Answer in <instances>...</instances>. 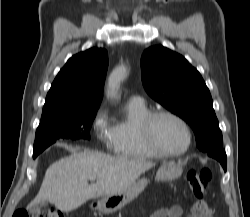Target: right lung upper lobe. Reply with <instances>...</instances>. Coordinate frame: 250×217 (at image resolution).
<instances>
[{
    "label": "right lung upper lobe",
    "instance_id": "1",
    "mask_svg": "<svg viewBox=\"0 0 250 217\" xmlns=\"http://www.w3.org/2000/svg\"><path fill=\"white\" fill-rule=\"evenodd\" d=\"M107 67L108 54L102 48L72 56L53 81L42 116L99 108Z\"/></svg>",
    "mask_w": 250,
    "mask_h": 217
}]
</instances>
